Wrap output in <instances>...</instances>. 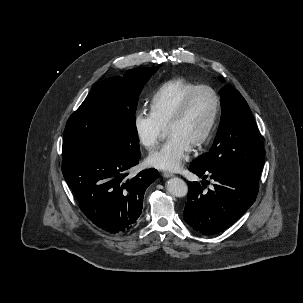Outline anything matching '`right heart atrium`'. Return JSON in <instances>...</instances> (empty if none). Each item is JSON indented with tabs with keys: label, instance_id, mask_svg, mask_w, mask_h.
<instances>
[{
	"label": "right heart atrium",
	"instance_id": "right-heart-atrium-1",
	"mask_svg": "<svg viewBox=\"0 0 303 303\" xmlns=\"http://www.w3.org/2000/svg\"><path fill=\"white\" fill-rule=\"evenodd\" d=\"M133 128L139 142L148 150L160 141L164 126L151 112L137 111L133 117Z\"/></svg>",
	"mask_w": 303,
	"mask_h": 303
}]
</instances>
